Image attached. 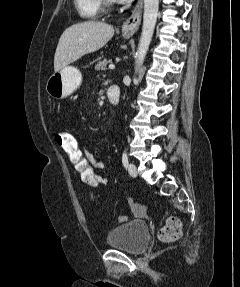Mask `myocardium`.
Listing matches in <instances>:
<instances>
[{
	"mask_svg": "<svg viewBox=\"0 0 240 287\" xmlns=\"http://www.w3.org/2000/svg\"><path fill=\"white\" fill-rule=\"evenodd\" d=\"M102 5L109 9V8H112L113 7V0H100Z\"/></svg>",
	"mask_w": 240,
	"mask_h": 287,
	"instance_id": "1",
	"label": "myocardium"
}]
</instances>
